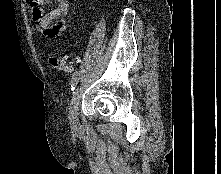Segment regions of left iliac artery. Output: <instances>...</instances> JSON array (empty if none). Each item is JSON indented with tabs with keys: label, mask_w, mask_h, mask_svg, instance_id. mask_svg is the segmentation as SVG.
Masks as SVG:
<instances>
[{
	"label": "left iliac artery",
	"mask_w": 221,
	"mask_h": 174,
	"mask_svg": "<svg viewBox=\"0 0 221 174\" xmlns=\"http://www.w3.org/2000/svg\"><path fill=\"white\" fill-rule=\"evenodd\" d=\"M79 81V72L75 71L71 77V91H74Z\"/></svg>",
	"instance_id": "obj_1"
}]
</instances>
